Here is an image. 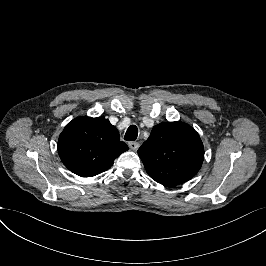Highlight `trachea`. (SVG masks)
<instances>
[{
	"mask_svg": "<svg viewBox=\"0 0 266 266\" xmlns=\"http://www.w3.org/2000/svg\"><path fill=\"white\" fill-rule=\"evenodd\" d=\"M138 135V129L135 125L129 126V128L126 131V134L124 136V140L126 141H134L136 140Z\"/></svg>",
	"mask_w": 266,
	"mask_h": 266,
	"instance_id": "3493384b",
	"label": "trachea"
}]
</instances>
